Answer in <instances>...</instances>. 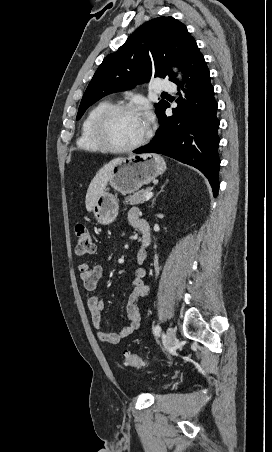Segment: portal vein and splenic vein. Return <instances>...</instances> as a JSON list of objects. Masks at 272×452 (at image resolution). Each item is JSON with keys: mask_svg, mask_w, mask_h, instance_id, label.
<instances>
[{"mask_svg": "<svg viewBox=\"0 0 272 452\" xmlns=\"http://www.w3.org/2000/svg\"><path fill=\"white\" fill-rule=\"evenodd\" d=\"M152 197H153V192H149V193L146 195L144 201H148V200H150Z\"/></svg>", "mask_w": 272, "mask_h": 452, "instance_id": "18ae733b", "label": "portal vein and splenic vein"}]
</instances>
